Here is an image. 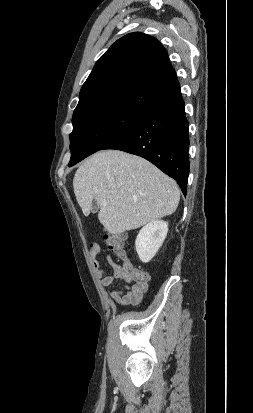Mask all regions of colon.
Listing matches in <instances>:
<instances>
[{
  "label": "colon",
  "mask_w": 253,
  "mask_h": 413,
  "mask_svg": "<svg viewBox=\"0 0 253 413\" xmlns=\"http://www.w3.org/2000/svg\"><path fill=\"white\" fill-rule=\"evenodd\" d=\"M103 240L108 248L114 252L118 257L125 260L123 272L130 277L135 283L145 284L148 283V274L137 267H135L126 256L125 245L126 237L123 234H114L105 232Z\"/></svg>",
  "instance_id": "colon-1"
}]
</instances>
